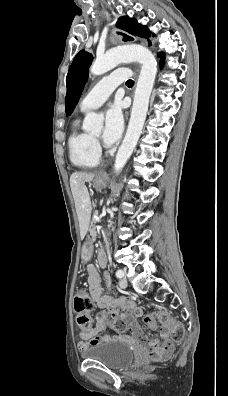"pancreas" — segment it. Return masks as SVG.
I'll use <instances>...</instances> for the list:
<instances>
[{"instance_id": "cf45deb5", "label": "pancreas", "mask_w": 228, "mask_h": 396, "mask_svg": "<svg viewBox=\"0 0 228 396\" xmlns=\"http://www.w3.org/2000/svg\"><path fill=\"white\" fill-rule=\"evenodd\" d=\"M91 220H92V224H91V227H90L89 232H90L91 236L94 237V236H96V235H95V234H96V231H95V229H96L95 223L97 222L96 220H99V223H102V220H100V217H99L98 214H93L92 217H91ZM94 239L96 240L97 238L95 237Z\"/></svg>"}]
</instances>
